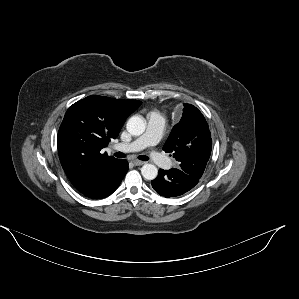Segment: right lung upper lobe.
Segmentation results:
<instances>
[{
    "instance_id": "right-lung-upper-lobe-1",
    "label": "right lung upper lobe",
    "mask_w": 299,
    "mask_h": 299,
    "mask_svg": "<svg viewBox=\"0 0 299 299\" xmlns=\"http://www.w3.org/2000/svg\"><path fill=\"white\" fill-rule=\"evenodd\" d=\"M141 102L98 95L86 97L69 107L58 132L61 165L81 193L94 190L108 168L117 162L102 148L116 138L126 120Z\"/></svg>"
}]
</instances>
